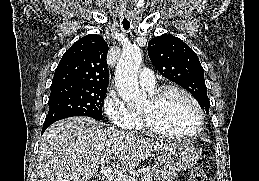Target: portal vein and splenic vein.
Segmentation results:
<instances>
[{
	"mask_svg": "<svg viewBox=\"0 0 259 181\" xmlns=\"http://www.w3.org/2000/svg\"><path fill=\"white\" fill-rule=\"evenodd\" d=\"M109 159H111V157H109V156L104 157L105 161H108ZM101 173L106 179H108V181H136L131 176H128L126 174L117 173V172L113 171L112 169L104 167V166H102V168H101ZM142 181H152V179L150 177H145L142 179Z\"/></svg>",
	"mask_w": 259,
	"mask_h": 181,
	"instance_id": "obj_1",
	"label": "portal vein and splenic vein"
}]
</instances>
